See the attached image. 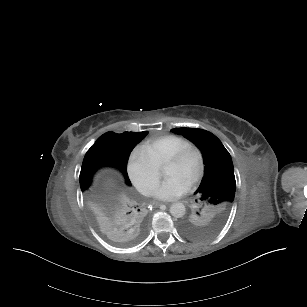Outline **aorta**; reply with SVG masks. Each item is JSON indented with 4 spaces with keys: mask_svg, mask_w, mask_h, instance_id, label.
I'll return each mask as SVG.
<instances>
[{
    "mask_svg": "<svg viewBox=\"0 0 307 307\" xmlns=\"http://www.w3.org/2000/svg\"><path fill=\"white\" fill-rule=\"evenodd\" d=\"M170 214L175 218H181L185 214V206L182 203H174L170 206Z\"/></svg>",
    "mask_w": 307,
    "mask_h": 307,
    "instance_id": "aorta-1",
    "label": "aorta"
}]
</instances>
